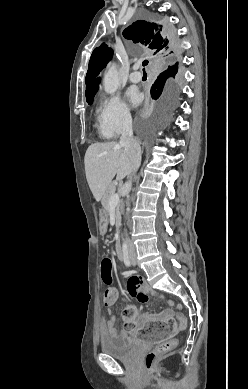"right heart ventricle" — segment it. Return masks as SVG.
Wrapping results in <instances>:
<instances>
[{
  "label": "right heart ventricle",
  "mask_w": 248,
  "mask_h": 389,
  "mask_svg": "<svg viewBox=\"0 0 248 389\" xmlns=\"http://www.w3.org/2000/svg\"><path fill=\"white\" fill-rule=\"evenodd\" d=\"M95 126H96V128L98 130V133H99L100 137H102V138H110L111 137L106 132V130L104 128L102 117H101V114H100L99 110L97 111Z\"/></svg>",
  "instance_id": "right-heart-ventricle-1"
}]
</instances>
